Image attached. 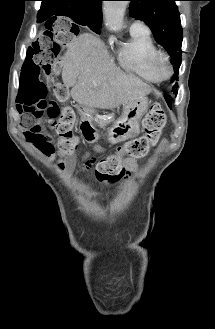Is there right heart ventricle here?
Returning a JSON list of instances; mask_svg holds the SVG:
<instances>
[{"mask_svg":"<svg viewBox=\"0 0 215 329\" xmlns=\"http://www.w3.org/2000/svg\"><path fill=\"white\" fill-rule=\"evenodd\" d=\"M159 51V47L151 37L149 31H130V39L119 46L116 58L119 65L126 71L151 82L161 80L152 68V59Z\"/></svg>","mask_w":215,"mask_h":329,"instance_id":"e07e8e85","label":"right heart ventricle"}]
</instances>
